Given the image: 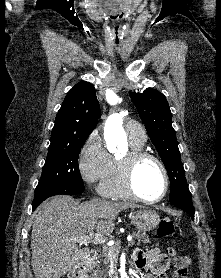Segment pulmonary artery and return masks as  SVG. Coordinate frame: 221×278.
<instances>
[{
    "instance_id": "pulmonary-artery-1",
    "label": "pulmonary artery",
    "mask_w": 221,
    "mask_h": 278,
    "mask_svg": "<svg viewBox=\"0 0 221 278\" xmlns=\"http://www.w3.org/2000/svg\"><path fill=\"white\" fill-rule=\"evenodd\" d=\"M126 131L130 139L138 141H146V134L143 128L135 122H128L126 124Z\"/></svg>"
}]
</instances>
